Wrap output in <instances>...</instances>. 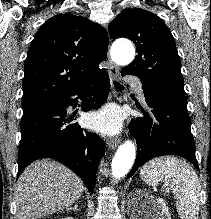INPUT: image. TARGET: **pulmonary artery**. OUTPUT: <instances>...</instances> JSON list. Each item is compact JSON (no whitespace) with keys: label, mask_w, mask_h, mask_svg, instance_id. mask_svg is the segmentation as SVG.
I'll return each instance as SVG.
<instances>
[{"label":"pulmonary artery","mask_w":211,"mask_h":219,"mask_svg":"<svg viewBox=\"0 0 211 219\" xmlns=\"http://www.w3.org/2000/svg\"><path fill=\"white\" fill-rule=\"evenodd\" d=\"M127 81L134 85V87L139 95V98L141 99V101H144L145 97H144L143 86H142L141 81L137 78H132V77H128Z\"/></svg>","instance_id":"obj_1"}]
</instances>
